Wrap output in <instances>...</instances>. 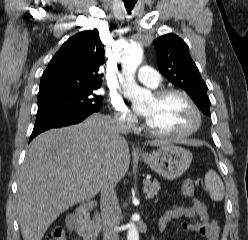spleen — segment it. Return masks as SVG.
Wrapping results in <instances>:
<instances>
[{
	"instance_id": "obj_1",
	"label": "spleen",
	"mask_w": 248,
	"mask_h": 240,
	"mask_svg": "<svg viewBox=\"0 0 248 240\" xmlns=\"http://www.w3.org/2000/svg\"><path fill=\"white\" fill-rule=\"evenodd\" d=\"M205 185L213 201H221L225 195L224 184L214 170H209L205 175Z\"/></svg>"
}]
</instances>
